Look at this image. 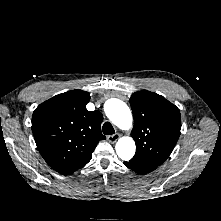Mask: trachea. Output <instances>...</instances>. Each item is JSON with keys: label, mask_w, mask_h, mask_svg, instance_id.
Listing matches in <instances>:
<instances>
[{"label": "trachea", "mask_w": 221, "mask_h": 221, "mask_svg": "<svg viewBox=\"0 0 221 221\" xmlns=\"http://www.w3.org/2000/svg\"><path fill=\"white\" fill-rule=\"evenodd\" d=\"M102 131L105 135H112L115 133V130L110 122H105L103 124Z\"/></svg>", "instance_id": "1"}]
</instances>
